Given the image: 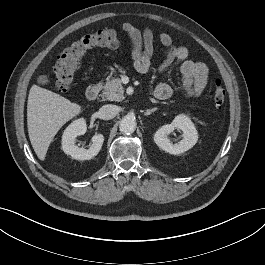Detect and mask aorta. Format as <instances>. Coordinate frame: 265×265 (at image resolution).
Masks as SVG:
<instances>
[{"label":"aorta","instance_id":"aorta-1","mask_svg":"<svg viewBox=\"0 0 265 265\" xmlns=\"http://www.w3.org/2000/svg\"><path fill=\"white\" fill-rule=\"evenodd\" d=\"M119 129L124 134H131L136 129V121L132 116H124L119 124Z\"/></svg>","mask_w":265,"mask_h":265}]
</instances>
